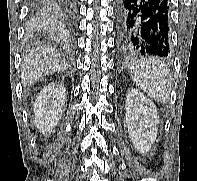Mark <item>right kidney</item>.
<instances>
[{
  "mask_svg": "<svg viewBox=\"0 0 197 181\" xmlns=\"http://www.w3.org/2000/svg\"><path fill=\"white\" fill-rule=\"evenodd\" d=\"M66 88L63 84H49L37 96L33 111L35 124L44 135L51 133L62 115Z\"/></svg>",
  "mask_w": 197,
  "mask_h": 181,
  "instance_id": "obj_1",
  "label": "right kidney"
}]
</instances>
